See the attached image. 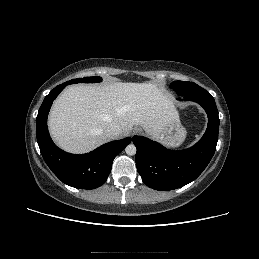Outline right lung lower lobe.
I'll return each instance as SVG.
<instances>
[{"label":"right lung lower lobe","instance_id":"1","mask_svg":"<svg viewBox=\"0 0 259 259\" xmlns=\"http://www.w3.org/2000/svg\"><path fill=\"white\" fill-rule=\"evenodd\" d=\"M67 85V82L58 85L45 97L36 118L37 142L46 164L63 183L79 189H94L106 182L114 158L130 144L131 138L106 143L82 155L59 149L50 138L47 116L53 100Z\"/></svg>","mask_w":259,"mask_h":259}]
</instances>
